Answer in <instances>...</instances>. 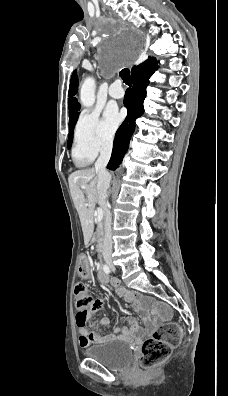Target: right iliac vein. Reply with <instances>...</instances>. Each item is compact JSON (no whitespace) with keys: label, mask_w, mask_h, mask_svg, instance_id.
Returning a JSON list of instances; mask_svg holds the SVG:
<instances>
[{"label":"right iliac vein","mask_w":228,"mask_h":396,"mask_svg":"<svg viewBox=\"0 0 228 396\" xmlns=\"http://www.w3.org/2000/svg\"><path fill=\"white\" fill-rule=\"evenodd\" d=\"M108 264H109L111 267L113 266L112 262H108Z\"/></svg>","instance_id":"obj_1"}]
</instances>
